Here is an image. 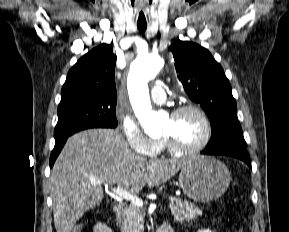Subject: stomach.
<instances>
[{"mask_svg":"<svg viewBox=\"0 0 289 232\" xmlns=\"http://www.w3.org/2000/svg\"><path fill=\"white\" fill-rule=\"evenodd\" d=\"M230 181L228 168L213 157H191L180 168L179 185L183 193L194 201L207 203L219 198Z\"/></svg>","mask_w":289,"mask_h":232,"instance_id":"0dacf381","label":"stomach"}]
</instances>
